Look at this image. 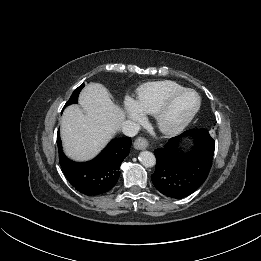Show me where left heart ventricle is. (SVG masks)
Wrapping results in <instances>:
<instances>
[{
    "mask_svg": "<svg viewBox=\"0 0 261 261\" xmlns=\"http://www.w3.org/2000/svg\"><path fill=\"white\" fill-rule=\"evenodd\" d=\"M197 97L194 93L188 92L181 95L173 103L168 115V123H176L185 118L196 106Z\"/></svg>",
    "mask_w": 261,
    "mask_h": 261,
    "instance_id": "obj_1",
    "label": "left heart ventricle"
}]
</instances>
